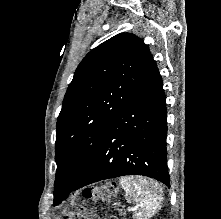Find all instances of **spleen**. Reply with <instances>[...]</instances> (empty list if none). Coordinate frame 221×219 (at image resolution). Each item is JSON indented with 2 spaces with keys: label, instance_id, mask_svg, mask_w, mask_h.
Instances as JSON below:
<instances>
[{
  "label": "spleen",
  "instance_id": "spleen-1",
  "mask_svg": "<svg viewBox=\"0 0 221 219\" xmlns=\"http://www.w3.org/2000/svg\"><path fill=\"white\" fill-rule=\"evenodd\" d=\"M120 185L125 191L127 201L136 204L134 218L148 219L160 209L163 199L162 188L157 182L128 176L120 178Z\"/></svg>",
  "mask_w": 221,
  "mask_h": 219
}]
</instances>
